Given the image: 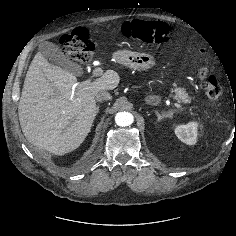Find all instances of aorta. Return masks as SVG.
I'll return each instance as SVG.
<instances>
[{
  "label": "aorta",
  "mask_w": 236,
  "mask_h": 236,
  "mask_svg": "<svg viewBox=\"0 0 236 236\" xmlns=\"http://www.w3.org/2000/svg\"><path fill=\"white\" fill-rule=\"evenodd\" d=\"M133 121H134L133 115L126 111L119 112L115 116L116 124L121 127L129 126L133 123Z\"/></svg>",
  "instance_id": "aorta-1"
}]
</instances>
